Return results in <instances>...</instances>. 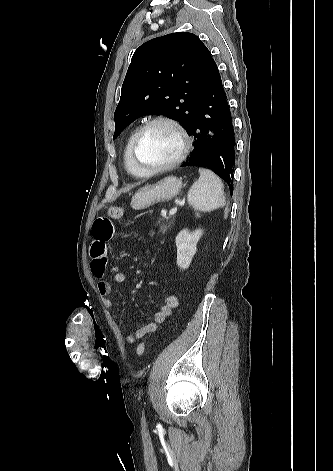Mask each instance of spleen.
Here are the masks:
<instances>
[{"label":"spleen","instance_id":"1","mask_svg":"<svg viewBox=\"0 0 333 471\" xmlns=\"http://www.w3.org/2000/svg\"><path fill=\"white\" fill-rule=\"evenodd\" d=\"M200 177L187 194L189 205L196 211L210 212L224 207L225 197L221 179L208 169H199Z\"/></svg>","mask_w":333,"mask_h":471}]
</instances>
